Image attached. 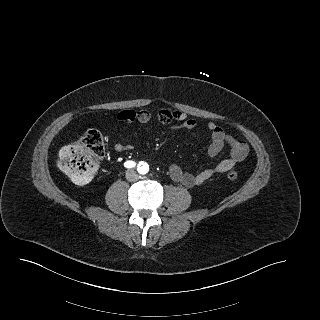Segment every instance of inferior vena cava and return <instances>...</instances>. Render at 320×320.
<instances>
[{"label":"inferior vena cava","instance_id":"1","mask_svg":"<svg viewBox=\"0 0 320 320\" xmlns=\"http://www.w3.org/2000/svg\"><path fill=\"white\" fill-rule=\"evenodd\" d=\"M138 174L134 170H128L126 172V179L130 182L138 180Z\"/></svg>","mask_w":320,"mask_h":320}]
</instances>
